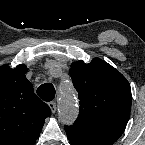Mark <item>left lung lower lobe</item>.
Wrapping results in <instances>:
<instances>
[{"instance_id": "0a47b994", "label": "left lung lower lobe", "mask_w": 145, "mask_h": 145, "mask_svg": "<svg viewBox=\"0 0 145 145\" xmlns=\"http://www.w3.org/2000/svg\"><path fill=\"white\" fill-rule=\"evenodd\" d=\"M125 127L74 123L64 128L73 145H112L121 136Z\"/></svg>"}]
</instances>
